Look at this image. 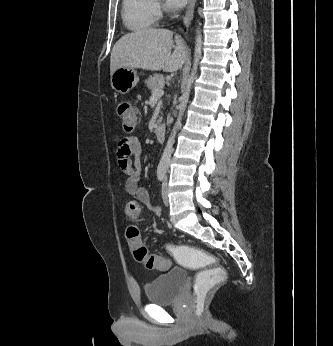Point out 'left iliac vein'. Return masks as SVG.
I'll list each match as a JSON object with an SVG mask.
<instances>
[{
    "label": "left iliac vein",
    "mask_w": 333,
    "mask_h": 346,
    "mask_svg": "<svg viewBox=\"0 0 333 346\" xmlns=\"http://www.w3.org/2000/svg\"><path fill=\"white\" fill-rule=\"evenodd\" d=\"M168 180L167 177L164 178L163 183H162V199H163V203L165 205H169V198H168Z\"/></svg>",
    "instance_id": "1"
}]
</instances>
